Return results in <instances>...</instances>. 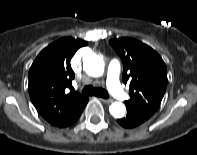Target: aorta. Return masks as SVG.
Masks as SVG:
<instances>
[{"mask_svg": "<svg viewBox=\"0 0 197 155\" xmlns=\"http://www.w3.org/2000/svg\"><path fill=\"white\" fill-rule=\"evenodd\" d=\"M85 72L93 77L101 76L104 72V60L98 55H89L84 59ZM110 114L115 118H122L125 115L126 107L121 102H114L109 107Z\"/></svg>", "mask_w": 197, "mask_h": 155, "instance_id": "obj_1", "label": "aorta"}]
</instances>
